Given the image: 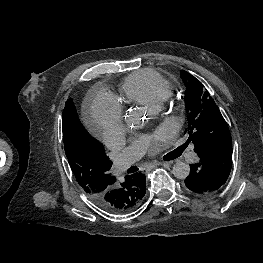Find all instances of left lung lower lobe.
Returning <instances> with one entry per match:
<instances>
[{
  "label": "left lung lower lobe",
  "mask_w": 263,
  "mask_h": 263,
  "mask_svg": "<svg viewBox=\"0 0 263 263\" xmlns=\"http://www.w3.org/2000/svg\"><path fill=\"white\" fill-rule=\"evenodd\" d=\"M197 164H191L185 185L196 194L205 195L225 184L232 166V143L222 142L200 153Z\"/></svg>",
  "instance_id": "obj_1"
}]
</instances>
